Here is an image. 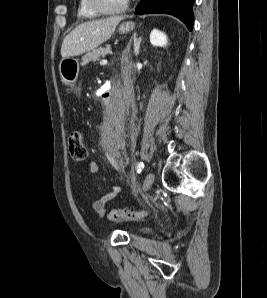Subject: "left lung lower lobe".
Segmentation results:
<instances>
[{
    "label": "left lung lower lobe",
    "instance_id": "1",
    "mask_svg": "<svg viewBox=\"0 0 267 298\" xmlns=\"http://www.w3.org/2000/svg\"><path fill=\"white\" fill-rule=\"evenodd\" d=\"M195 0H141L135 14L167 13L178 17L192 30L194 17L192 5Z\"/></svg>",
    "mask_w": 267,
    "mask_h": 298
}]
</instances>
